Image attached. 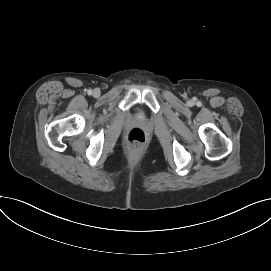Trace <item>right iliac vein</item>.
Segmentation results:
<instances>
[{"instance_id":"1","label":"right iliac vein","mask_w":271,"mask_h":271,"mask_svg":"<svg viewBox=\"0 0 271 271\" xmlns=\"http://www.w3.org/2000/svg\"><path fill=\"white\" fill-rule=\"evenodd\" d=\"M93 95L97 97L99 95V90L95 89Z\"/></svg>"}]
</instances>
